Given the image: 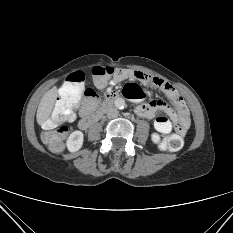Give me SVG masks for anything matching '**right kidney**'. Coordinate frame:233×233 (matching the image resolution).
Instances as JSON below:
<instances>
[{
  "mask_svg": "<svg viewBox=\"0 0 233 233\" xmlns=\"http://www.w3.org/2000/svg\"><path fill=\"white\" fill-rule=\"evenodd\" d=\"M83 141H84L83 133L77 130L69 135L66 142V146L70 152H76L82 147Z\"/></svg>",
  "mask_w": 233,
  "mask_h": 233,
  "instance_id": "obj_1",
  "label": "right kidney"
}]
</instances>
